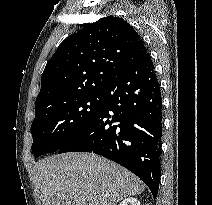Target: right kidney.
Masks as SVG:
<instances>
[{
	"label": "right kidney",
	"mask_w": 212,
	"mask_h": 205,
	"mask_svg": "<svg viewBox=\"0 0 212 205\" xmlns=\"http://www.w3.org/2000/svg\"><path fill=\"white\" fill-rule=\"evenodd\" d=\"M119 205H141L136 198H126Z\"/></svg>",
	"instance_id": "1"
}]
</instances>
